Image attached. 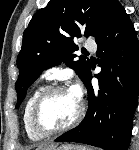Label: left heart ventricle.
Listing matches in <instances>:
<instances>
[{
	"label": "left heart ventricle",
	"mask_w": 139,
	"mask_h": 150,
	"mask_svg": "<svg viewBox=\"0 0 139 150\" xmlns=\"http://www.w3.org/2000/svg\"><path fill=\"white\" fill-rule=\"evenodd\" d=\"M79 100L71 91H58L51 94L43 103L40 113V124L47 129L65 126L75 117Z\"/></svg>",
	"instance_id": "obj_1"
}]
</instances>
